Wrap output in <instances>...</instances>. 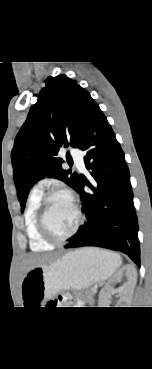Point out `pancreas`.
<instances>
[{
  "mask_svg": "<svg viewBox=\"0 0 152 369\" xmlns=\"http://www.w3.org/2000/svg\"><path fill=\"white\" fill-rule=\"evenodd\" d=\"M95 293L96 291L94 288H91L90 290L87 291V295L89 296V298H91Z\"/></svg>",
  "mask_w": 152,
  "mask_h": 369,
  "instance_id": "cf45deb5",
  "label": "pancreas"
}]
</instances>
